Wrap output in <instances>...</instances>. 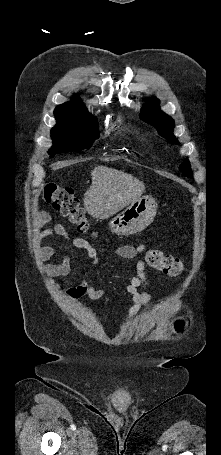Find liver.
Segmentation results:
<instances>
[{
    "instance_id": "6515ba94",
    "label": "liver",
    "mask_w": 221,
    "mask_h": 455,
    "mask_svg": "<svg viewBox=\"0 0 221 455\" xmlns=\"http://www.w3.org/2000/svg\"><path fill=\"white\" fill-rule=\"evenodd\" d=\"M92 183L84 194L85 210L94 218L107 219L141 197L142 181L106 166L91 172Z\"/></svg>"
}]
</instances>
